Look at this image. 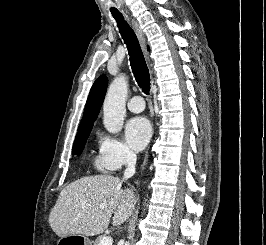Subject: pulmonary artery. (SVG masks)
Returning <instances> with one entry per match:
<instances>
[{
  "mask_svg": "<svg viewBox=\"0 0 266 245\" xmlns=\"http://www.w3.org/2000/svg\"><path fill=\"white\" fill-rule=\"evenodd\" d=\"M127 108L131 112L140 113L144 110L145 103L141 100V96H132V99L127 102Z\"/></svg>",
  "mask_w": 266,
  "mask_h": 245,
  "instance_id": "e3ab8cb5",
  "label": "pulmonary artery"
}]
</instances>
